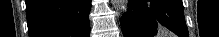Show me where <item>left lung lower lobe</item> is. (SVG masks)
Returning <instances> with one entry per match:
<instances>
[{
    "label": "left lung lower lobe",
    "instance_id": "obj_1",
    "mask_svg": "<svg viewBox=\"0 0 219 37\" xmlns=\"http://www.w3.org/2000/svg\"><path fill=\"white\" fill-rule=\"evenodd\" d=\"M161 25L179 37H189L182 0H129L121 18L124 37H153Z\"/></svg>",
    "mask_w": 219,
    "mask_h": 37
}]
</instances>
